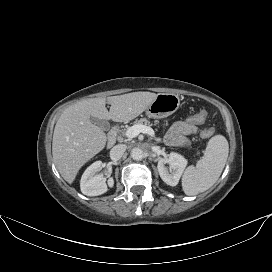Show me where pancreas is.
I'll list each match as a JSON object with an SVG mask.
<instances>
[{
  "label": "pancreas",
  "mask_w": 272,
  "mask_h": 272,
  "mask_svg": "<svg viewBox=\"0 0 272 272\" xmlns=\"http://www.w3.org/2000/svg\"><path fill=\"white\" fill-rule=\"evenodd\" d=\"M135 125H151V124H150V121H149V120L143 118V119L138 120L137 123H136ZM128 128H129V127H126V128H124V129H122V130H121V133H122V134H125V132H126V130H127Z\"/></svg>",
  "instance_id": "obj_1"
}]
</instances>
